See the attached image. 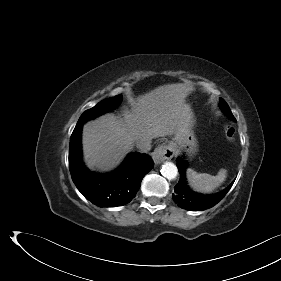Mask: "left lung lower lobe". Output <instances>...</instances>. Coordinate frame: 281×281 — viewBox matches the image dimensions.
I'll return each mask as SVG.
<instances>
[{
  "label": "left lung lower lobe",
  "mask_w": 281,
  "mask_h": 281,
  "mask_svg": "<svg viewBox=\"0 0 281 281\" xmlns=\"http://www.w3.org/2000/svg\"><path fill=\"white\" fill-rule=\"evenodd\" d=\"M177 167L180 173L179 183L175 187V193L172 195L175 203L182 209L190 211H201L216 205L221 201L226 193L230 190L233 183L217 194L202 195L195 193L189 189L185 178V161L181 158L177 159Z\"/></svg>",
  "instance_id": "obj_1"
}]
</instances>
